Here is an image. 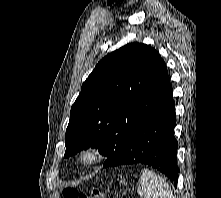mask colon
I'll use <instances>...</instances> for the list:
<instances>
[{
  "label": "colon",
  "instance_id": "obj_1",
  "mask_svg": "<svg viewBox=\"0 0 221 198\" xmlns=\"http://www.w3.org/2000/svg\"><path fill=\"white\" fill-rule=\"evenodd\" d=\"M63 196L64 198H106V193L104 191L95 189L90 195H88L81 193L74 188H66L63 191Z\"/></svg>",
  "mask_w": 221,
  "mask_h": 198
}]
</instances>
